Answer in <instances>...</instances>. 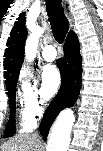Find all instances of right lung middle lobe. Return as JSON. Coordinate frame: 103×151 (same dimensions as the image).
Wrapping results in <instances>:
<instances>
[{
	"label": "right lung middle lobe",
	"instance_id": "1",
	"mask_svg": "<svg viewBox=\"0 0 103 151\" xmlns=\"http://www.w3.org/2000/svg\"><path fill=\"white\" fill-rule=\"evenodd\" d=\"M5 83L10 104V119L5 129L4 136L10 137L15 133V89L17 80Z\"/></svg>",
	"mask_w": 103,
	"mask_h": 151
}]
</instances>
